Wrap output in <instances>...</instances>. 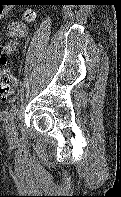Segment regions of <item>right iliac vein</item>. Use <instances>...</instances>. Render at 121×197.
I'll return each instance as SVG.
<instances>
[{
	"label": "right iliac vein",
	"instance_id": "obj_1",
	"mask_svg": "<svg viewBox=\"0 0 121 197\" xmlns=\"http://www.w3.org/2000/svg\"><path fill=\"white\" fill-rule=\"evenodd\" d=\"M8 141L11 145H15L17 141V125L13 121L9 126Z\"/></svg>",
	"mask_w": 121,
	"mask_h": 197
}]
</instances>
